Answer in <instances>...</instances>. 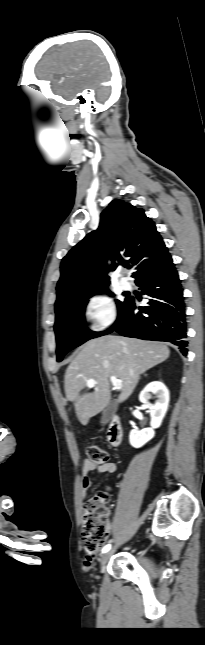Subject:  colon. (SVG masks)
I'll return each mask as SVG.
<instances>
[{
    "label": "colon",
    "mask_w": 205,
    "mask_h": 645,
    "mask_svg": "<svg viewBox=\"0 0 205 645\" xmlns=\"http://www.w3.org/2000/svg\"><path fill=\"white\" fill-rule=\"evenodd\" d=\"M86 456L87 460L96 466L108 461V453L98 445H89L86 448ZM108 500L109 494L101 491L83 504L82 540L89 553H95L107 540L109 523L106 504Z\"/></svg>",
    "instance_id": "obj_1"
}]
</instances>
